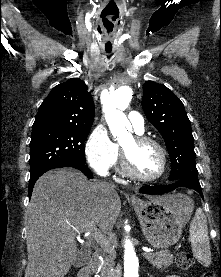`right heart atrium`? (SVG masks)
Instances as JSON below:
<instances>
[{
    "instance_id": "obj_1",
    "label": "right heart atrium",
    "mask_w": 221,
    "mask_h": 277,
    "mask_svg": "<svg viewBox=\"0 0 221 277\" xmlns=\"http://www.w3.org/2000/svg\"><path fill=\"white\" fill-rule=\"evenodd\" d=\"M117 152V145L111 139L106 128L101 125L95 127L85 144V154L89 166L96 173L106 175L116 161Z\"/></svg>"
}]
</instances>
